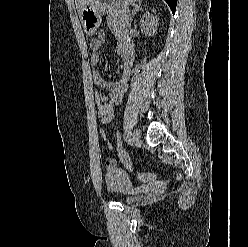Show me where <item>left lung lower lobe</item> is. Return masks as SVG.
I'll use <instances>...</instances> for the list:
<instances>
[{
	"instance_id": "0a47b994",
	"label": "left lung lower lobe",
	"mask_w": 248,
	"mask_h": 247,
	"mask_svg": "<svg viewBox=\"0 0 248 247\" xmlns=\"http://www.w3.org/2000/svg\"><path fill=\"white\" fill-rule=\"evenodd\" d=\"M167 2V4L169 5V7L171 8L172 13H175L176 10V4H177V0H165Z\"/></svg>"
}]
</instances>
